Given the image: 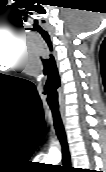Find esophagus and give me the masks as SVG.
Masks as SVG:
<instances>
[{
	"mask_svg": "<svg viewBox=\"0 0 106 172\" xmlns=\"http://www.w3.org/2000/svg\"><path fill=\"white\" fill-rule=\"evenodd\" d=\"M60 114H61V119H62V122H63V125L65 126V129H66V116H65V111L64 110H60Z\"/></svg>",
	"mask_w": 106,
	"mask_h": 172,
	"instance_id": "34e87169",
	"label": "esophagus"
}]
</instances>
